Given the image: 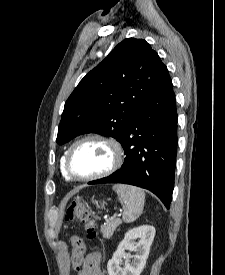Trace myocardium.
Segmentation results:
<instances>
[{
    "label": "myocardium",
    "mask_w": 225,
    "mask_h": 275,
    "mask_svg": "<svg viewBox=\"0 0 225 275\" xmlns=\"http://www.w3.org/2000/svg\"><path fill=\"white\" fill-rule=\"evenodd\" d=\"M87 141H99L107 145L110 148L112 153V161L110 166L104 171H101L92 175H85V176L77 175L73 172L70 165L71 156L73 151L78 145ZM122 162H123V149L117 140L107 136L100 135V134H89L77 139L69 147L65 155L64 168L68 176L73 179L82 180V181H92V180L101 179L111 175L112 173H114L116 170L119 169Z\"/></svg>",
    "instance_id": "f54148a6"
}]
</instances>
